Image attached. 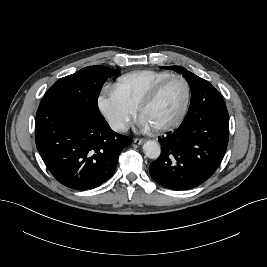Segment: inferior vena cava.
<instances>
[{
  "instance_id": "1",
  "label": "inferior vena cava",
  "mask_w": 267,
  "mask_h": 267,
  "mask_svg": "<svg viewBox=\"0 0 267 267\" xmlns=\"http://www.w3.org/2000/svg\"><path fill=\"white\" fill-rule=\"evenodd\" d=\"M110 127L116 132H125L128 130L127 123L122 119H114L110 121Z\"/></svg>"
}]
</instances>
